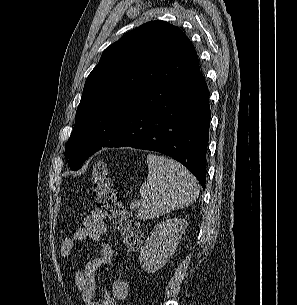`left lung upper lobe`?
I'll return each instance as SVG.
<instances>
[{
	"label": "left lung upper lobe",
	"mask_w": 297,
	"mask_h": 305,
	"mask_svg": "<svg viewBox=\"0 0 297 305\" xmlns=\"http://www.w3.org/2000/svg\"><path fill=\"white\" fill-rule=\"evenodd\" d=\"M200 70L198 55L178 27L150 21L107 47L86 79L65 147L72 170L107 144L155 85Z\"/></svg>",
	"instance_id": "1"
}]
</instances>
